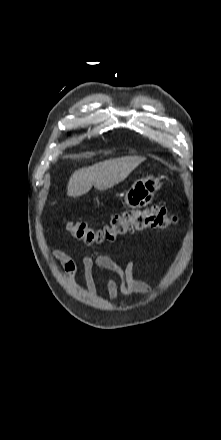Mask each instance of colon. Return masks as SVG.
I'll use <instances>...</instances> for the list:
<instances>
[{"label":"colon","mask_w":221,"mask_h":440,"mask_svg":"<svg viewBox=\"0 0 221 440\" xmlns=\"http://www.w3.org/2000/svg\"><path fill=\"white\" fill-rule=\"evenodd\" d=\"M174 221L175 217L164 206L153 205L116 214L108 224L99 228L81 220H66L65 227L77 240L87 245H99L135 230L167 229Z\"/></svg>","instance_id":"obj_1"}]
</instances>
